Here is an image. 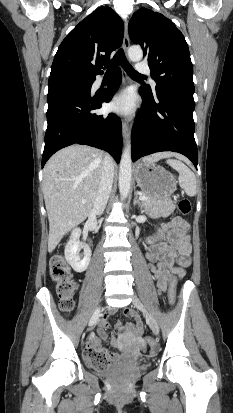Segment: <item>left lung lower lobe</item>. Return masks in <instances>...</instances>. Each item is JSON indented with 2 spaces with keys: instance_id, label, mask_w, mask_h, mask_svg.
Returning a JSON list of instances; mask_svg holds the SVG:
<instances>
[{
  "instance_id": "0a47b994",
  "label": "left lung lower lobe",
  "mask_w": 233,
  "mask_h": 413,
  "mask_svg": "<svg viewBox=\"0 0 233 413\" xmlns=\"http://www.w3.org/2000/svg\"><path fill=\"white\" fill-rule=\"evenodd\" d=\"M143 98L133 126L132 160L161 151L178 152L197 168L198 151L194 139L193 96L166 87L154 95L140 88Z\"/></svg>"
}]
</instances>
